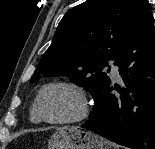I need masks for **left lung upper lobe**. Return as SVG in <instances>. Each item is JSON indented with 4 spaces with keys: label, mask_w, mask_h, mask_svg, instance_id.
Masks as SVG:
<instances>
[{
    "label": "left lung upper lobe",
    "mask_w": 155,
    "mask_h": 149,
    "mask_svg": "<svg viewBox=\"0 0 155 149\" xmlns=\"http://www.w3.org/2000/svg\"><path fill=\"white\" fill-rule=\"evenodd\" d=\"M149 14L148 0H87L74 7L58 24L31 83L41 75L67 76L95 97L110 83L103 69Z\"/></svg>",
    "instance_id": "left-lung-upper-lobe-1"
}]
</instances>
